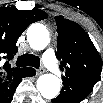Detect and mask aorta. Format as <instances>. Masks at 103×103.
<instances>
[{"label":"aorta","instance_id":"aorta-1","mask_svg":"<svg viewBox=\"0 0 103 103\" xmlns=\"http://www.w3.org/2000/svg\"><path fill=\"white\" fill-rule=\"evenodd\" d=\"M27 41L34 50H43L50 42L49 31L43 24L35 23L27 30ZM37 89L46 99L55 98L60 92V80L52 74L41 75L37 79Z\"/></svg>","mask_w":103,"mask_h":103}]
</instances>
